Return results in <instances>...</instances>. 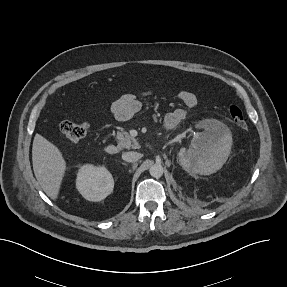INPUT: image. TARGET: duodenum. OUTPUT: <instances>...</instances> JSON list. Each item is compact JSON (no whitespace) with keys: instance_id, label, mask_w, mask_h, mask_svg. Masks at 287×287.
Instances as JSON below:
<instances>
[{"instance_id":"410a0bca","label":"duodenum","mask_w":287,"mask_h":287,"mask_svg":"<svg viewBox=\"0 0 287 287\" xmlns=\"http://www.w3.org/2000/svg\"><path fill=\"white\" fill-rule=\"evenodd\" d=\"M105 151H106V153L112 155V154H115V153L118 152V148H117V146L115 144L110 143V144L106 145Z\"/></svg>"}]
</instances>
